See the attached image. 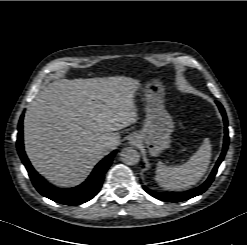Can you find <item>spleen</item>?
<instances>
[{"instance_id":"1","label":"spleen","mask_w":247,"mask_h":245,"mask_svg":"<svg viewBox=\"0 0 247 245\" xmlns=\"http://www.w3.org/2000/svg\"><path fill=\"white\" fill-rule=\"evenodd\" d=\"M210 159L211 144L210 140L205 138L199 149L186 163L168 167L159 162L156 169V181L166 190L181 191L190 188L204 176Z\"/></svg>"}]
</instances>
